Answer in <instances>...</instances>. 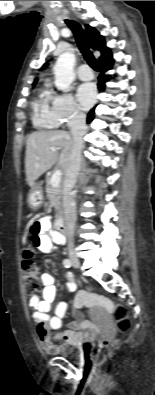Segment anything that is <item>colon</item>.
<instances>
[{"mask_svg":"<svg viewBox=\"0 0 155 395\" xmlns=\"http://www.w3.org/2000/svg\"><path fill=\"white\" fill-rule=\"evenodd\" d=\"M34 252L30 246L24 249V261L22 263V278L25 290L28 294H34L41 290L42 282L39 277V269L33 260ZM115 317L117 320L118 328L120 331L125 332L129 328V317L128 311L124 306H117L115 309ZM112 345L111 342H103L98 349L100 354H104L105 351Z\"/></svg>","mask_w":155,"mask_h":395,"instance_id":"obj_1","label":"colon"}]
</instances>
